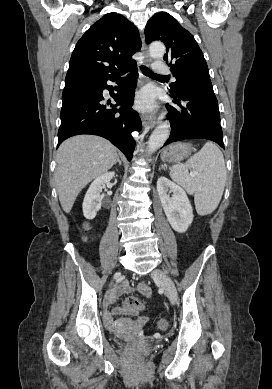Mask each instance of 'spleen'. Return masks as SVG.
Here are the masks:
<instances>
[{"label":"spleen","instance_id":"3e777b00","mask_svg":"<svg viewBox=\"0 0 272 389\" xmlns=\"http://www.w3.org/2000/svg\"><path fill=\"white\" fill-rule=\"evenodd\" d=\"M196 170L189 175L188 169ZM170 177L189 194H194L196 211L204 216L211 214L218 206L225 187L226 167L222 152L212 142L194 154L184 164H176L170 169Z\"/></svg>","mask_w":272,"mask_h":389}]
</instances>
